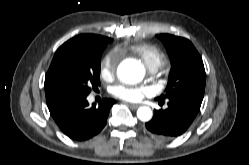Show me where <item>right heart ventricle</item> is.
<instances>
[{
	"instance_id": "1",
	"label": "right heart ventricle",
	"mask_w": 249,
	"mask_h": 165,
	"mask_svg": "<svg viewBox=\"0 0 249 165\" xmlns=\"http://www.w3.org/2000/svg\"><path fill=\"white\" fill-rule=\"evenodd\" d=\"M129 50L137 55L152 72L166 62L165 53L153 44H134L129 47Z\"/></svg>"
}]
</instances>
